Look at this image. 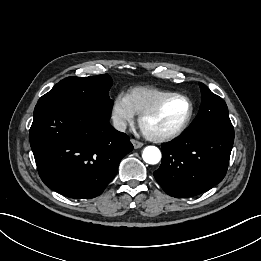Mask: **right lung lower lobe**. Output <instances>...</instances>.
Returning <instances> with one entry per match:
<instances>
[{
  "instance_id": "1",
  "label": "right lung lower lobe",
  "mask_w": 261,
  "mask_h": 261,
  "mask_svg": "<svg viewBox=\"0 0 261 261\" xmlns=\"http://www.w3.org/2000/svg\"><path fill=\"white\" fill-rule=\"evenodd\" d=\"M29 137L44 184L75 199L100 195L133 149L105 116L60 105H36Z\"/></svg>"
}]
</instances>
